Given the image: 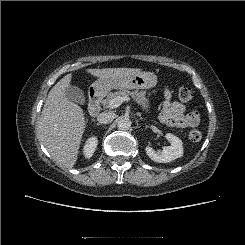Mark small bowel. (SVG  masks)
Wrapping results in <instances>:
<instances>
[{
    "mask_svg": "<svg viewBox=\"0 0 245 245\" xmlns=\"http://www.w3.org/2000/svg\"><path fill=\"white\" fill-rule=\"evenodd\" d=\"M164 101L161 107V120L167 125L179 128L196 127L200 122L197 111L186 112V106L177 101H172V93L166 87L163 91Z\"/></svg>",
    "mask_w": 245,
    "mask_h": 245,
    "instance_id": "c3829d8e",
    "label": "small bowel"
}]
</instances>
